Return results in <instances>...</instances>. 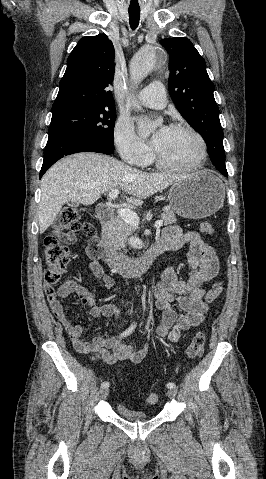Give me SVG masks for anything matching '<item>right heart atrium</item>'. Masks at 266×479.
Masks as SVG:
<instances>
[{
	"instance_id": "right-heart-atrium-1",
	"label": "right heart atrium",
	"mask_w": 266,
	"mask_h": 479,
	"mask_svg": "<svg viewBox=\"0 0 266 479\" xmlns=\"http://www.w3.org/2000/svg\"><path fill=\"white\" fill-rule=\"evenodd\" d=\"M114 142L121 158L129 164L143 167L151 160L149 147L136 136L126 121L116 123Z\"/></svg>"
}]
</instances>
